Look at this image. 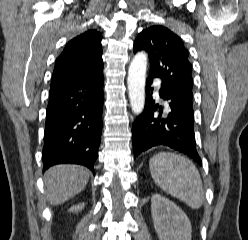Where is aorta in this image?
Returning a JSON list of instances; mask_svg holds the SVG:
<instances>
[{"mask_svg": "<svg viewBox=\"0 0 248 240\" xmlns=\"http://www.w3.org/2000/svg\"><path fill=\"white\" fill-rule=\"evenodd\" d=\"M147 55L140 52L132 59L127 77L129 100L134 114L142 113L145 105V76Z\"/></svg>", "mask_w": 248, "mask_h": 240, "instance_id": "1", "label": "aorta"}]
</instances>
